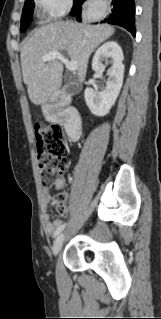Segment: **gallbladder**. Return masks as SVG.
Returning <instances> with one entry per match:
<instances>
[{
	"label": "gallbladder",
	"instance_id": "1",
	"mask_svg": "<svg viewBox=\"0 0 161 319\" xmlns=\"http://www.w3.org/2000/svg\"><path fill=\"white\" fill-rule=\"evenodd\" d=\"M66 91H70L71 89L69 88V87H66V89H65Z\"/></svg>",
	"mask_w": 161,
	"mask_h": 319
}]
</instances>
